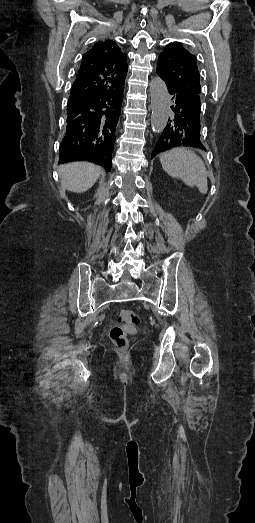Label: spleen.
Instances as JSON below:
<instances>
[{
	"label": "spleen",
	"instance_id": "obj_1",
	"mask_svg": "<svg viewBox=\"0 0 255 523\" xmlns=\"http://www.w3.org/2000/svg\"><path fill=\"white\" fill-rule=\"evenodd\" d=\"M163 170L180 178L187 186H197L201 194H207V174L203 160L186 148H173L160 156Z\"/></svg>",
	"mask_w": 255,
	"mask_h": 523
}]
</instances>
